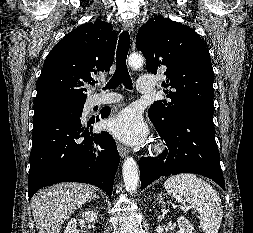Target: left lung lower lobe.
<instances>
[{
	"label": "left lung lower lobe",
	"mask_w": 253,
	"mask_h": 233,
	"mask_svg": "<svg viewBox=\"0 0 253 233\" xmlns=\"http://www.w3.org/2000/svg\"><path fill=\"white\" fill-rule=\"evenodd\" d=\"M154 126L168 149L158 158L140 159L141 189L160 177L196 173L211 178L225 190L213 113L199 110L180 115L170 131Z\"/></svg>",
	"instance_id": "0a47b994"
}]
</instances>
